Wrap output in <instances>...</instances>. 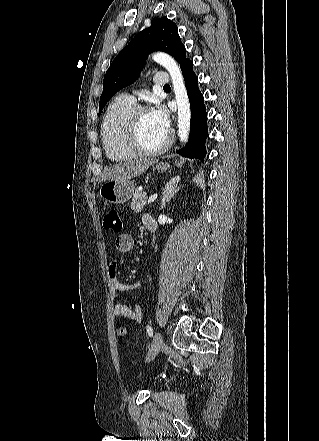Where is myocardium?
<instances>
[{
	"mask_svg": "<svg viewBox=\"0 0 319 441\" xmlns=\"http://www.w3.org/2000/svg\"><path fill=\"white\" fill-rule=\"evenodd\" d=\"M149 112L146 106H135L131 111L125 128V141L127 146L136 154L141 156H155L166 151L172 143V132L167 133V137L164 142L155 149L145 148L139 140V124L140 118L143 113Z\"/></svg>",
	"mask_w": 319,
	"mask_h": 441,
	"instance_id": "f54148a6",
	"label": "myocardium"
}]
</instances>
